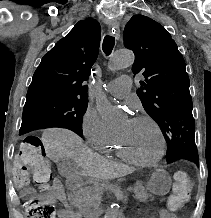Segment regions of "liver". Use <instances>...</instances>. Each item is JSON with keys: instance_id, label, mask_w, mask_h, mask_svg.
<instances>
[{"instance_id": "6515ba94", "label": "liver", "mask_w": 211, "mask_h": 218, "mask_svg": "<svg viewBox=\"0 0 211 218\" xmlns=\"http://www.w3.org/2000/svg\"><path fill=\"white\" fill-rule=\"evenodd\" d=\"M42 142L47 144L49 156L71 158L78 170H81L80 174H86L92 178L113 180V178L126 176L127 170H129L127 166L106 160L103 156L88 150L87 146H84L83 140L70 130H62V128L45 130Z\"/></svg>"}]
</instances>
